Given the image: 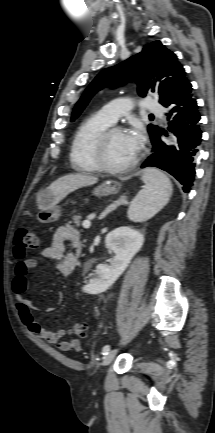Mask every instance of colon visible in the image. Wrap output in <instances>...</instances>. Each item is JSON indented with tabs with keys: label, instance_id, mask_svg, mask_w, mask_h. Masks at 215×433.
<instances>
[{
	"label": "colon",
	"instance_id": "1",
	"mask_svg": "<svg viewBox=\"0 0 215 433\" xmlns=\"http://www.w3.org/2000/svg\"><path fill=\"white\" fill-rule=\"evenodd\" d=\"M40 245L39 236L29 227L18 229L15 237V255L19 259L26 257L27 251L35 249ZM71 331L79 337L87 334V324L83 322H73Z\"/></svg>",
	"mask_w": 215,
	"mask_h": 433
}]
</instances>
